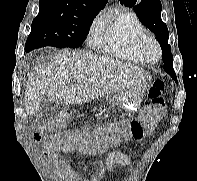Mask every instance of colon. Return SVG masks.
Returning <instances> with one entry per match:
<instances>
[{
	"label": "colon",
	"instance_id": "colon-1",
	"mask_svg": "<svg viewBox=\"0 0 197 181\" xmlns=\"http://www.w3.org/2000/svg\"><path fill=\"white\" fill-rule=\"evenodd\" d=\"M165 88L166 84L163 80L157 79L153 82L148 89L149 104L141 111L138 119L122 121L107 127H98L92 131L87 129L61 131L71 117L70 113L63 112L45 123L41 132L36 134L37 138H41L42 135L46 136L51 149L71 151L76 147L82 152L91 151L94 153H102L116 144L123 136L131 135L140 139L146 133L151 132L165 114Z\"/></svg>",
	"mask_w": 197,
	"mask_h": 181
}]
</instances>
